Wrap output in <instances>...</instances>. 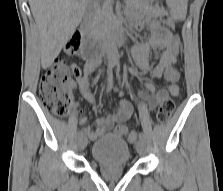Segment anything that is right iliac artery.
Here are the masks:
<instances>
[{"mask_svg":"<svg viewBox=\"0 0 223 191\" xmlns=\"http://www.w3.org/2000/svg\"><path fill=\"white\" fill-rule=\"evenodd\" d=\"M112 78H113L112 69H109L108 70V87H107V91H110L112 86H113V79ZM82 135H83V133H82V131H80L78 133V137H80Z\"/></svg>","mask_w":223,"mask_h":191,"instance_id":"obj_1","label":"right iliac artery"}]
</instances>
